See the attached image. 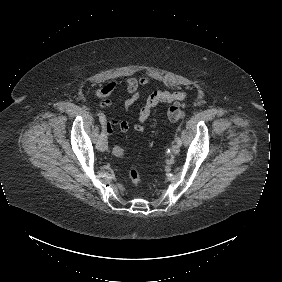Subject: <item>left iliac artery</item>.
Returning <instances> with one entry per match:
<instances>
[{
    "mask_svg": "<svg viewBox=\"0 0 282 282\" xmlns=\"http://www.w3.org/2000/svg\"><path fill=\"white\" fill-rule=\"evenodd\" d=\"M175 140L181 146L182 142H181L180 138L177 136V134H175Z\"/></svg>",
    "mask_w": 282,
    "mask_h": 282,
    "instance_id": "1",
    "label": "left iliac artery"
}]
</instances>
